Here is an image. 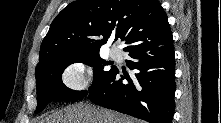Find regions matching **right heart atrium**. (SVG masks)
Instances as JSON below:
<instances>
[{
  "instance_id": "1",
  "label": "right heart atrium",
  "mask_w": 221,
  "mask_h": 123,
  "mask_svg": "<svg viewBox=\"0 0 221 123\" xmlns=\"http://www.w3.org/2000/svg\"><path fill=\"white\" fill-rule=\"evenodd\" d=\"M92 80V68L81 61L71 62L64 68L61 74L63 85L67 89L76 92L86 90L91 85Z\"/></svg>"
}]
</instances>
